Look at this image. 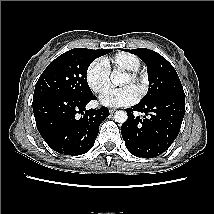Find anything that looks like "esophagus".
Returning <instances> with one entry per match:
<instances>
[{"mask_svg": "<svg viewBox=\"0 0 214 214\" xmlns=\"http://www.w3.org/2000/svg\"><path fill=\"white\" fill-rule=\"evenodd\" d=\"M109 112H110L111 114H113V113L115 112V110H114V109H110Z\"/></svg>", "mask_w": 214, "mask_h": 214, "instance_id": "obj_1", "label": "esophagus"}]
</instances>
